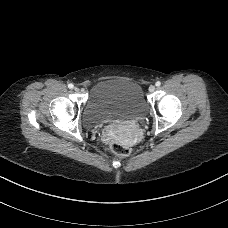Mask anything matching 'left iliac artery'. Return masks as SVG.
Masks as SVG:
<instances>
[{
  "mask_svg": "<svg viewBox=\"0 0 228 228\" xmlns=\"http://www.w3.org/2000/svg\"><path fill=\"white\" fill-rule=\"evenodd\" d=\"M157 87H159L161 85V82L160 81H157L156 84H155Z\"/></svg>",
  "mask_w": 228,
  "mask_h": 228,
  "instance_id": "obj_1",
  "label": "left iliac artery"
}]
</instances>
